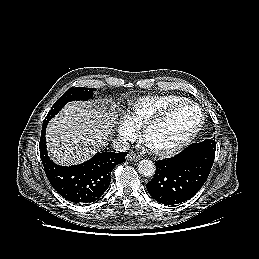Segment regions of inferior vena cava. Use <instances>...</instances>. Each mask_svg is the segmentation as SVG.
I'll use <instances>...</instances> for the list:
<instances>
[{"instance_id": "1", "label": "inferior vena cava", "mask_w": 259, "mask_h": 259, "mask_svg": "<svg viewBox=\"0 0 259 259\" xmlns=\"http://www.w3.org/2000/svg\"><path fill=\"white\" fill-rule=\"evenodd\" d=\"M113 148L118 152H125L130 148V143L124 138H116L113 141Z\"/></svg>"}]
</instances>
